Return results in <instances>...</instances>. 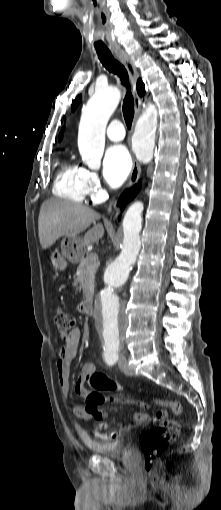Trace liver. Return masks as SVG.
<instances>
[{
	"label": "liver",
	"instance_id": "liver-1",
	"mask_svg": "<svg viewBox=\"0 0 221 510\" xmlns=\"http://www.w3.org/2000/svg\"><path fill=\"white\" fill-rule=\"evenodd\" d=\"M100 214L93 209L57 198L43 202L38 219L39 240L43 249L52 246L60 237H75L89 229L82 240L83 246L92 244L104 235L102 223L95 224Z\"/></svg>",
	"mask_w": 221,
	"mask_h": 510
}]
</instances>
